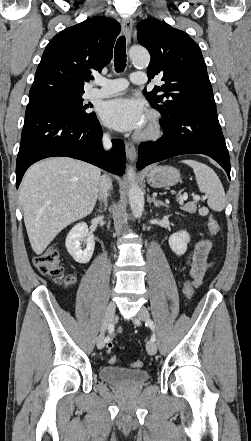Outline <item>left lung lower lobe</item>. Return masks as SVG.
Instances as JSON below:
<instances>
[{
    "instance_id": "left-lung-lower-lobe-1",
    "label": "left lung lower lobe",
    "mask_w": 251,
    "mask_h": 441,
    "mask_svg": "<svg viewBox=\"0 0 251 441\" xmlns=\"http://www.w3.org/2000/svg\"><path fill=\"white\" fill-rule=\"evenodd\" d=\"M163 136L138 149L137 168L182 154H205L217 161L230 178V158L216 109L183 111L161 122Z\"/></svg>"
}]
</instances>
